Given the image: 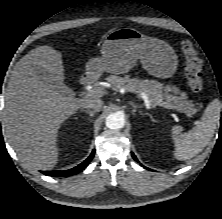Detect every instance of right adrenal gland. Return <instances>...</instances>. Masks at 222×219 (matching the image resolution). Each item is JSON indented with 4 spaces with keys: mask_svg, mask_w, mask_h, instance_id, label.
<instances>
[{
    "mask_svg": "<svg viewBox=\"0 0 222 219\" xmlns=\"http://www.w3.org/2000/svg\"><path fill=\"white\" fill-rule=\"evenodd\" d=\"M81 112L89 114L90 117H92L96 113V111H90V110H82Z\"/></svg>",
    "mask_w": 222,
    "mask_h": 219,
    "instance_id": "2a0ac1e0",
    "label": "right adrenal gland"
}]
</instances>
